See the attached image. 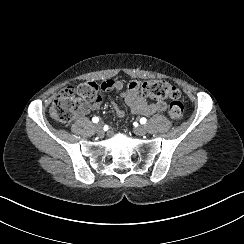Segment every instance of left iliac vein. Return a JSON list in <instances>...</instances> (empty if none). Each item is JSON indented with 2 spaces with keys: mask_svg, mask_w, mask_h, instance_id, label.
Segmentation results:
<instances>
[{
  "mask_svg": "<svg viewBox=\"0 0 244 244\" xmlns=\"http://www.w3.org/2000/svg\"><path fill=\"white\" fill-rule=\"evenodd\" d=\"M147 132L146 127L145 126H138L137 128H135L134 133L137 136H143L145 135Z\"/></svg>",
  "mask_w": 244,
  "mask_h": 244,
  "instance_id": "obj_1",
  "label": "left iliac vein"
}]
</instances>
